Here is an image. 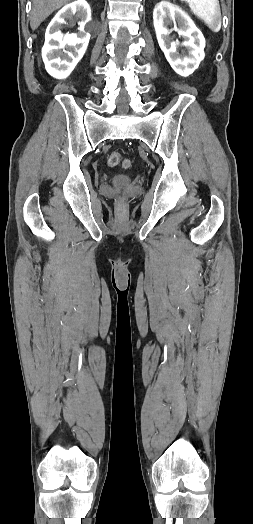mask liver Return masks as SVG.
Returning <instances> with one entry per match:
<instances>
[{"mask_svg": "<svg viewBox=\"0 0 253 524\" xmlns=\"http://www.w3.org/2000/svg\"><path fill=\"white\" fill-rule=\"evenodd\" d=\"M71 0H32L30 26L35 30L55 10Z\"/></svg>", "mask_w": 253, "mask_h": 524, "instance_id": "obj_1", "label": "liver"}]
</instances>
